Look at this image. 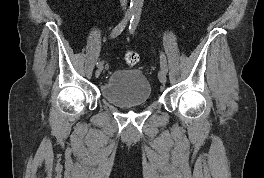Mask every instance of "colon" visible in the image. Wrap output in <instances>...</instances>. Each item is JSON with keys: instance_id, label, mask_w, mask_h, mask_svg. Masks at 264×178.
I'll return each instance as SVG.
<instances>
[{"instance_id": "obj_1", "label": "colon", "mask_w": 264, "mask_h": 178, "mask_svg": "<svg viewBox=\"0 0 264 178\" xmlns=\"http://www.w3.org/2000/svg\"><path fill=\"white\" fill-rule=\"evenodd\" d=\"M123 59H124V62L128 66L132 67V66H135L139 62V55L135 51H127L124 54Z\"/></svg>"}]
</instances>
